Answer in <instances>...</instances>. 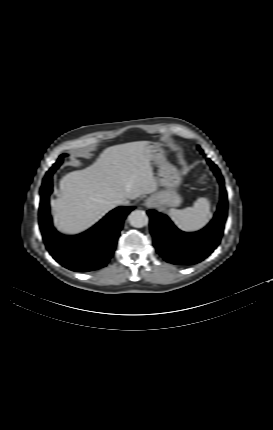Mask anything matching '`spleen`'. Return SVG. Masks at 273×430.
Returning <instances> with one entry per match:
<instances>
[{"mask_svg":"<svg viewBox=\"0 0 273 430\" xmlns=\"http://www.w3.org/2000/svg\"><path fill=\"white\" fill-rule=\"evenodd\" d=\"M169 216L183 232H195L202 229L210 219V202L207 198H198L193 207L170 209Z\"/></svg>","mask_w":273,"mask_h":430,"instance_id":"3e777b00","label":"spleen"}]
</instances>
